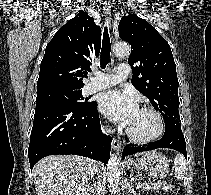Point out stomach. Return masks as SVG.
Wrapping results in <instances>:
<instances>
[{
    "mask_svg": "<svg viewBox=\"0 0 211 195\" xmlns=\"http://www.w3.org/2000/svg\"><path fill=\"white\" fill-rule=\"evenodd\" d=\"M129 169L141 170L154 178H163L169 171V162L166 157L157 151L146 152L138 159H129L125 162Z\"/></svg>",
    "mask_w": 211,
    "mask_h": 195,
    "instance_id": "1",
    "label": "stomach"
}]
</instances>
